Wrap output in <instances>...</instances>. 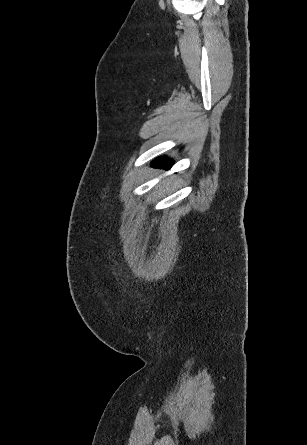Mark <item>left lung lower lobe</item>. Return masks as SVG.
Instances as JSON below:
<instances>
[{
	"mask_svg": "<svg viewBox=\"0 0 307 445\" xmlns=\"http://www.w3.org/2000/svg\"><path fill=\"white\" fill-rule=\"evenodd\" d=\"M172 164H173V162L171 160L161 157V158L155 159L152 162L151 166L155 167V168L170 169Z\"/></svg>",
	"mask_w": 307,
	"mask_h": 445,
	"instance_id": "left-lung-lower-lobe-1",
	"label": "left lung lower lobe"
}]
</instances>
